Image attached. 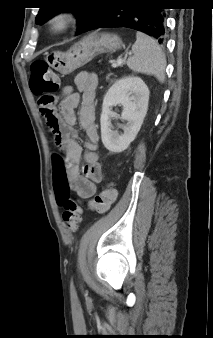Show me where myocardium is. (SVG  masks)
Returning a JSON list of instances; mask_svg holds the SVG:
<instances>
[{
	"instance_id": "myocardium-1",
	"label": "myocardium",
	"mask_w": 213,
	"mask_h": 338,
	"mask_svg": "<svg viewBox=\"0 0 213 338\" xmlns=\"http://www.w3.org/2000/svg\"><path fill=\"white\" fill-rule=\"evenodd\" d=\"M49 28L53 34H60L69 29L72 24V16L69 13H56L49 19Z\"/></svg>"
}]
</instances>
